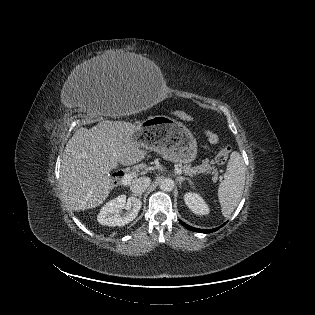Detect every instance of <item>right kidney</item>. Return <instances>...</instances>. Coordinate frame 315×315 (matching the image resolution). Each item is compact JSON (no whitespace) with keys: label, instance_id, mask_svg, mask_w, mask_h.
<instances>
[{"label":"right kidney","instance_id":"obj_1","mask_svg":"<svg viewBox=\"0 0 315 315\" xmlns=\"http://www.w3.org/2000/svg\"><path fill=\"white\" fill-rule=\"evenodd\" d=\"M142 206L140 199L120 195L107 202L100 210L97 220L102 225L124 226L133 221ZM123 209L127 212L121 213Z\"/></svg>","mask_w":315,"mask_h":315}]
</instances>
